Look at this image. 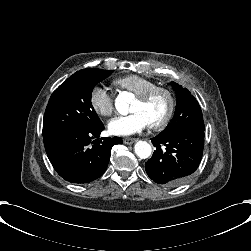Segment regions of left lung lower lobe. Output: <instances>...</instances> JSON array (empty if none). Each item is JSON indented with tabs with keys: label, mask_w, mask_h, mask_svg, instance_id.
<instances>
[{
	"label": "left lung lower lobe",
	"mask_w": 251,
	"mask_h": 251,
	"mask_svg": "<svg viewBox=\"0 0 251 251\" xmlns=\"http://www.w3.org/2000/svg\"><path fill=\"white\" fill-rule=\"evenodd\" d=\"M151 141L156 150L145 163V169L158 184L177 186L183 183L201 162L204 130L184 129L166 136L157 135Z\"/></svg>",
	"instance_id": "obj_1"
}]
</instances>
